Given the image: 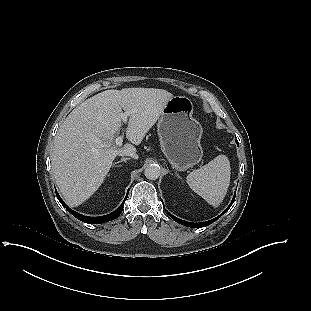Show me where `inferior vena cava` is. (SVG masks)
Wrapping results in <instances>:
<instances>
[{
    "label": "inferior vena cava",
    "mask_w": 311,
    "mask_h": 311,
    "mask_svg": "<svg viewBox=\"0 0 311 311\" xmlns=\"http://www.w3.org/2000/svg\"><path fill=\"white\" fill-rule=\"evenodd\" d=\"M121 156H130L132 157L133 159H138V154L134 151H129V152H124L121 154Z\"/></svg>",
    "instance_id": "inferior-vena-cava-1"
}]
</instances>
